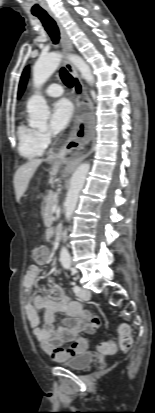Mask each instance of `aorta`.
Listing matches in <instances>:
<instances>
[{"mask_svg": "<svg viewBox=\"0 0 155 413\" xmlns=\"http://www.w3.org/2000/svg\"><path fill=\"white\" fill-rule=\"evenodd\" d=\"M63 55L61 53L52 52L48 55L41 56L33 67V84L39 88L58 68ZM70 61L79 70L82 77L91 85L95 79L89 65L78 55H69ZM27 112L29 114V122L34 127L44 126L49 117L50 111L46 100L39 94L33 95L27 102ZM90 164H80L73 173L70 181V187L65 200V219L69 221L76 208L80 191L82 190L86 176L89 172ZM60 261L64 268L68 269L71 266V257L66 247H62L60 251Z\"/></svg>", "mask_w": 155, "mask_h": 413, "instance_id": "obj_1", "label": "aorta"}]
</instances>
